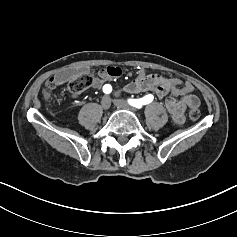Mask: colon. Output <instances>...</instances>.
<instances>
[{
  "label": "colon",
  "mask_w": 237,
  "mask_h": 237,
  "mask_svg": "<svg viewBox=\"0 0 237 237\" xmlns=\"http://www.w3.org/2000/svg\"><path fill=\"white\" fill-rule=\"evenodd\" d=\"M92 82H93V77L90 74L82 73L75 76L70 81L68 88L73 93H81L82 91L91 87ZM54 89H55L54 78H50V80L47 82L44 96L46 98H50ZM189 116L192 120H198L200 117V112L197 108L191 109Z\"/></svg>",
  "instance_id": "colon-1"
}]
</instances>
